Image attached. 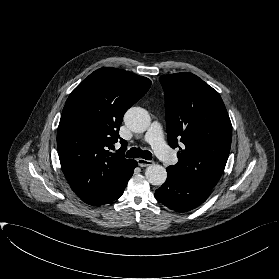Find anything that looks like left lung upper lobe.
Instances as JSON below:
<instances>
[{"instance_id": "obj_1", "label": "left lung upper lobe", "mask_w": 279, "mask_h": 279, "mask_svg": "<svg viewBox=\"0 0 279 279\" xmlns=\"http://www.w3.org/2000/svg\"><path fill=\"white\" fill-rule=\"evenodd\" d=\"M159 79L165 95L168 141L180 150L178 163L169 168L181 178L212 190L231 147L232 125L225 105L216 90L192 73Z\"/></svg>"}]
</instances>
